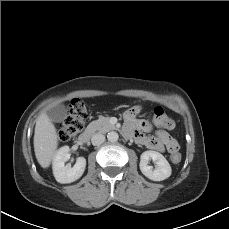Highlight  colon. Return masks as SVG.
<instances>
[{"mask_svg":"<svg viewBox=\"0 0 229 229\" xmlns=\"http://www.w3.org/2000/svg\"><path fill=\"white\" fill-rule=\"evenodd\" d=\"M87 117V110L83 100L75 98L71 101L68 107V116L59 127V137L62 141L68 142L73 140L85 128V121ZM168 127H173V121L164 117ZM178 144L170 142L167 145L168 151L171 153L173 163L181 161V155L178 153Z\"/></svg>","mask_w":229,"mask_h":229,"instance_id":"5ec220e1","label":"colon"}]
</instances>
